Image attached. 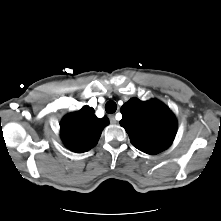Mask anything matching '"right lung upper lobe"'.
Returning <instances> with one entry per match:
<instances>
[{
  "label": "right lung upper lobe",
  "mask_w": 221,
  "mask_h": 221,
  "mask_svg": "<svg viewBox=\"0 0 221 221\" xmlns=\"http://www.w3.org/2000/svg\"><path fill=\"white\" fill-rule=\"evenodd\" d=\"M108 124L107 117L99 119L95 116L93 108L84 106L62 119L61 138L71 151L86 152L96 145L103 128Z\"/></svg>",
  "instance_id": "cb5924a9"
}]
</instances>
